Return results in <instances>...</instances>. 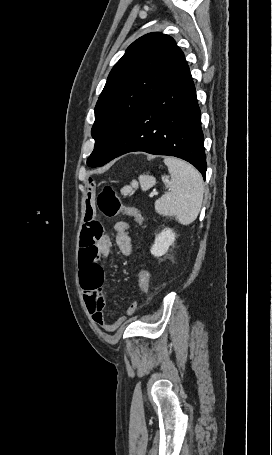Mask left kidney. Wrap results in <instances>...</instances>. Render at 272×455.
Returning <instances> with one entry per match:
<instances>
[{
    "label": "left kidney",
    "mask_w": 272,
    "mask_h": 455,
    "mask_svg": "<svg viewBox=\"0 0 272 455\" xmlns=\"http://www.w3.org/2000/svg\"><path fill=\"white\" fill-rule=\"evenodd\" d=\"M176 235L170 228H165L155 238V242L151 247V254L159 257L167 253L169 247L174 244Z\"/></svg>",
    "instance_id": "obj_1"
}]
</instances>
